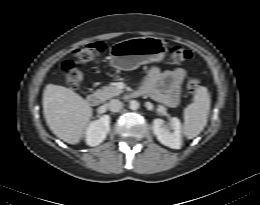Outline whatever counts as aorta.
<instances>
[{"label":"aorta","instance_id":"762f6f07","mask_svg":"<svg viewBox=\"0 0 260 205\" xmlns=\"http://www.w3.org/2000/svg\"><path fill=\"white\" fill-rule=\"evenodd\" d=\"M139 106H140V104H139L138 101H136V100L130 101L129 107H130L131 110H137V109H139Z\"/></svg>","mask_w":260,"mask_h":205}]
</instances>
